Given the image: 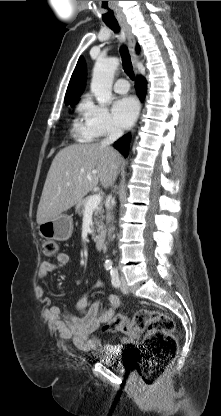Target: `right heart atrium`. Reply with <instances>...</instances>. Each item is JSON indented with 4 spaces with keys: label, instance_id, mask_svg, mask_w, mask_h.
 <instances>
[{
    "label": "right heart atrium",
    "instance_id": "right-heart-atrium-1",
    "mask_svg": "<svg viewBox=\"0 0 221 416\" xmlns=\"http://www.w3.org/2000/svg\"><path fill=\"white\" fill-rule=\"evenodd\" d=\"M79 111L81 123L78 132L81 137L96 140L107 136L117 137L121 134V129L109 110L95 103L90 96L84 98Z\"/></svg>",
    "mask_w": 221,
    "mask_h": 416
}]
</instances>
